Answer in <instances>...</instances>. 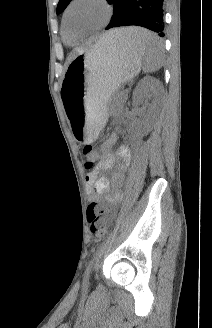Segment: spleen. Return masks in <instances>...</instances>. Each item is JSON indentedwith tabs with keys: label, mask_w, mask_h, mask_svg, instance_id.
I'll list each match as a JSON object with an SVG mask.
<instances>
[{
	"label": "spleen",
	"mask_w": 212,
	"mask_h": 328,
	"mask_svg": "<svg viewBox=\"0 0 212 328\" xmlns=\"http://www.w3.org/2000/svg\"><path fill=\"white\" fill-rule=\"evenodd\" d=\"M131 28L129 43L145 52L143 63L144 72L152 73L157 71L163 63V48L159 37L143 28ZM115 37L119 38L117 36ZM148 42H152L153 45H147Z\"/></svg>",
	"instance_id": "obj_1"
}]
</instances>
